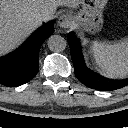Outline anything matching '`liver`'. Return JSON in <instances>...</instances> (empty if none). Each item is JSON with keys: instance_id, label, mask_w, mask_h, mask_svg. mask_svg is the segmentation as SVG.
<instances>
[{"instance_id": "6515ba94", "label": "liver", "mask_w": 128, "mask_h": 128, "mask_svg": "<svg viewBox=\"0 0 128 128\" xmlns=\"http://www.w3.org/2000/svg\"><path fill=\"white\" fill-rule=\"evenodd\" d=\"M82 0H0V56L18 47L42 21L37 18L40 8L52 12L57 7L78 8Z\"/></svg>"}]
</instances>
